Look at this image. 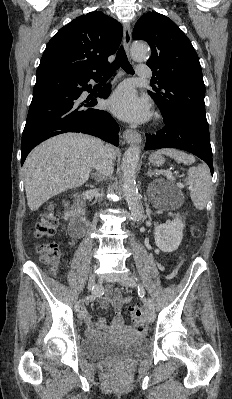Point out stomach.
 Masks as SVG:
<instances>
[{"instance_id": "1", "label": "stomach", "mask_w": 232, "mask_h": 399, "mask_svg": "<svg viewBox=\"0 0 232 399\" xmlns=\"http://www.w3.org/2000/svg\"><path fill=\"white\" fill-rule=\"evenodd\" d=\"M150 162L151 164H154V166H162V164L165 162V158H163L161 154H157V152H155V154L150 156Z\"/></svg>"}]
</instances>
